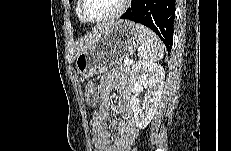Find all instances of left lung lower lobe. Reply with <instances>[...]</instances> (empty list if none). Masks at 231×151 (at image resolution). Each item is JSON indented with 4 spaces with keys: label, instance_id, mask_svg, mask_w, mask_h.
<instances>
[{
    "label": "left lung lower lobe",
    "instance_id": "1",
    "mask_svg": "<svg viewBox=\"0 0 231 151\" xmlns=\"http://www.w3.org/2000/svg\"><path fill=\"white\" fill-rule=\"evenodd\" d=\"M122 19L141 23L153 30L171 51L174 31L175 0H132Z\"/></svg>",
    "mask_w": 231,
    "mask_h": 151
}]
</instances>
